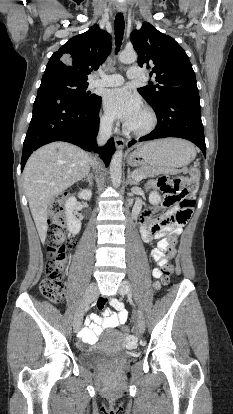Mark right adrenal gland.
<instances>
[{
    "mask_svg": "<svg viewBox=\"0 0 233 414\" xmlns=\"http://www.w3.org/2000/svg\"><path fill=\"white\" fill-rule=\"evenodd\" d=\"M83 181L88 182L89 185L92 187L93 186V175H92V173H89L88 176H87V178L84 179Z\"/></svg>",
    "mask_w": 233,
    "mask_h": 414,
    "instance_id": "right-adrenal-gland-1",
    "label": "right adrenal gland"
}]
</instances>
